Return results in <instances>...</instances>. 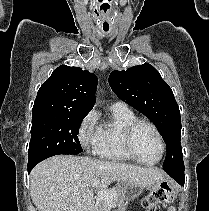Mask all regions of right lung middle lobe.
<instances>
[{"label":"right lung middle lobe","mask_w":209,"mask_h":211,"mask_svg":"<svg viewBox=\"0 0 209 211\" xmlns=\"http://www.w3.org/2000/svg\"><path fill=\"white\" fill-rule=\"evenodd\" d=\"M86 115L32 117L28 166L58 154L82 152L78 131Z\"/></svg>","instance_id":"dd1d6c3e"}]
</instances>
